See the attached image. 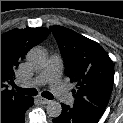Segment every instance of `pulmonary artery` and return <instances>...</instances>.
<instances>
[{
  "label": "pulmonary artery",
  "instance_id": "pulmonary-artery-1",
  "mask_svg": "<svg viewBox=\"0 0 123 123\" xmlns=\"http://www.w3.org/2000/svg\"><path fill=\"white\" fill-rule=\"evenodd\" d=\"M61 64L60 56L52 55L43 70L24 85L36 86L49 83L51 90L61 102L71 104L73 97L61 81Z\"/></svg>",
  "mask_w": 123,
  "mask_h": 123
}]
</instances>
